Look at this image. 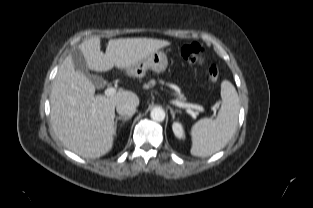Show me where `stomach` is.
Returning <instances> with one entry per match:
<instances>
[{"label": "stomach", "instance_id": "obj_1", "mask_svg": "<svg viewBox=\"0 0 313 208\" xmlns=\"http://www.w3.org/2000/svg\"><path fill=\"white\" fill-rule=\"evenodd\" d=\"M167 67L168 59L166 54L163 51H155L126 69V71L129 76L142 78L148 69L159 74L165 72Z\"/></svg>", "mask_w": 313, "mask_h": 208}]
</instances>
